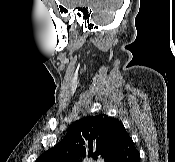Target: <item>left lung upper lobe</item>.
Returning <instances> with one entry per match:
<instances>
[{"mask_svg": "<svg viewBox=\"0 0 175 162\" xmlns=\"http://www.w3.org/2000/svg\"><path fill=\"white\" fill-rule=\"evenodd\" d=\"M126 133L123 124L107 115L88 116L75 121L55 147L35 162H74L80 157L101 156L109 162L116 146Z\"/></svg>", "mask_w": 175, "mask_h": 162, "instance_id": "left-lung-upper-lobe-1", "label": "left lung upper lobe"}]
</instances>
